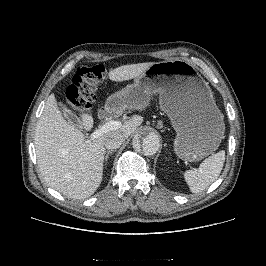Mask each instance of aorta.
<instances>
[{"label": "aorta", "instance_id": "obj_1", "mask_svg": "<svg viewBox=\"0 0 266 266\" xmlns=\"http://www.w3.org/2000/svg\"><path fill=\"white\" fill-rule=\"evenodd\" d=\"M133 146L134 148H138L139 146H141L144 155L151 156L156 154L159 150L160 139L155 132L149 129H145L142 130L139 133L137 139L134 140Z\"/></svg>", "mask_w": 266, "mask_h": 266}]
</instances>
